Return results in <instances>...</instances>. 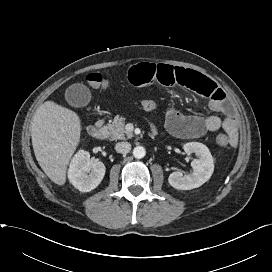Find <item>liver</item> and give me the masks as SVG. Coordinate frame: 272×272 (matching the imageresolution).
Wrapping results in <instances>:
<instances>
[{
	"label": "liver",
	"mask_w": 272,
	"mask_h": 272,
	"mask_svg": "<svg viewBox=\"0 0 272 272\" xmlns=\"http://www.w3.org/2000/svg\"><path fill=\"white\" fill-rule=\"evenodd\" d=\"M81 130L77 113L54 101L41 104L32 118L35 157L44 173L57 185L66 182L67 166L79 145Z\"/></svg>",
	"instance_id": "6515ba94"
}]
</instances>
